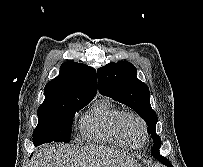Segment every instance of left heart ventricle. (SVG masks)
Masks as SVG:
<instances>
[{
    "mask_svg": "<svg viewBox=\"0 0 203 167\" xmlns=\"http://www.w3.org/2000/svg\"><path fill=\"white\" fill-rule=\"evenodd\" d=\"M127 133L135 144H140L142 142L143 134L141 125L134 119H130L126 122Z\"/></svg>",
    "mask_w": 203,
    "mask_h": 167,
    "instance_id": "1",
    "label": "left heart ventricle"
}]
</instances>
